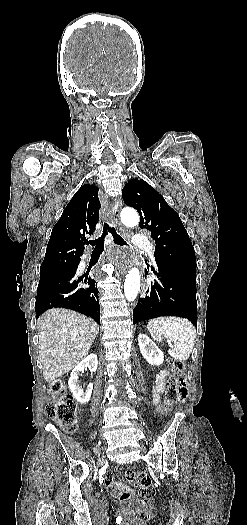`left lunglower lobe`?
<instances>
[{
  "label": "left lung lower lobe",
  "mask_w": 247,
  "mask_h": 525,
  "mask_svg": "<svg viewBox=\"0 0 247 525\" xmlns=\"http://www.w3.org/2000/svg\"><path fill=\"white\" fill-rule=\"evenodd\" d=\"M158 266V277L133 310V323L161 316H180L197 325L196 274ZM147 273V271H146Z\"/></svg>",
  "instance_id": "1"
}]
</instances>
